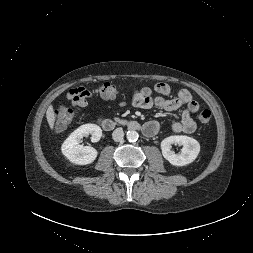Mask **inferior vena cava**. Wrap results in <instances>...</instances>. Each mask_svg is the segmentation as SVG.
I'll list each match as a JSON object with an SVG mask.
<instances>
[{
    "mask_svg": "<svg viewBox=\"0 0 253 253\" xmlns=\"http://www.w3.org/2000/svg\"><path fill=\"white\" fill-rule=\"evenodd\" d=\"M123 137H124V132H123L122 128H117L112 133V138L114 141L119 142V141L123 140Z\"/></svg>",
    "mask_w": 253,
    "mask_h": 253,
    "instance_id": "inferior-vena-cava-1",
    "label": "inferior vena cava"
}]
</instances>
